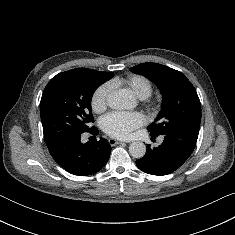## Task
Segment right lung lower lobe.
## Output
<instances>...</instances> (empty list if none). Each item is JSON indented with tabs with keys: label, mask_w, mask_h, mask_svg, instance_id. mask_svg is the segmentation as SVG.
I'll return each mask as SVG.
<instances>
[{
	"label": "right lung lower lobe",
	"mask_w": 235,
	"mask_h": 235,
	"mask_svg": "<svg viewBox=\"0 0 235 235\" xmlns=\"http://www.w3.org/2000/svg\"><path fill=\"white\" fill-rule=\"evenodd\" d=\"M88 132L93 135L98 134L95 127ZM81 134L79 132L68 133L47 147L53 159L62 168L74 175L86 176L104 167L109 160L112 148L104 138L82 144Z\"/></svg>",
	"instance_id": "98d812e1"
}]
</instances>
